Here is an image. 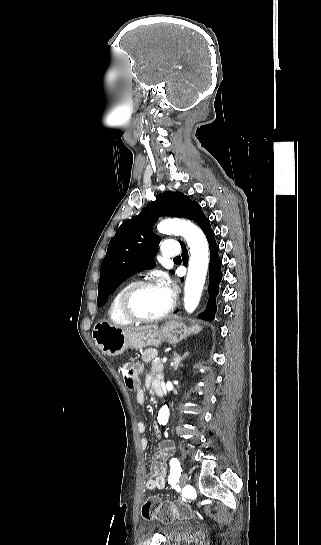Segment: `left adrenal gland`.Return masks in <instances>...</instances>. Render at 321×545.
<instances>
[{
  "label": "left adrenal gland",
  "mask_w": 321,
  "mask_h": 545,
  "mask_svg": "<svg viewBox=\"0 0 321 545\" xmlns=\"http://www.w3.org/2000/svg\"><path fill=\"white\" fill-rule=\"evenodd\" d=\"M186 357H188V353H185L184 357H178V355H175L174 359H173V367L176 371V369H178V367H180V363L181 361H183V359H186Z\"/></svg>",
  "instance_id": "left-adrenal-gland-1"
}]
</instances>
